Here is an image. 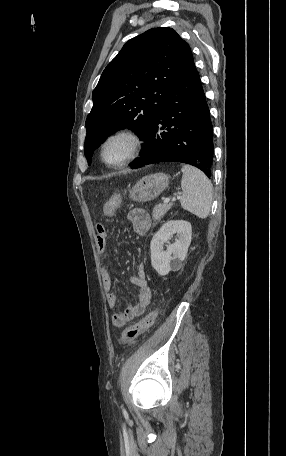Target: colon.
<instances>
[{
  "label": "colon",
  "mask_w": 286,
  "mask_h": 456,
  "mask_svg": "<svg viewBox=\"0 0 286 456\" xmlns=\"http://www.w3.org/2000/svg\"><path fill=\"white\" fill-rule=\"evenodd\" d=\"M119 202V196H113L109 201L111 205H117ZM157 315V311H153L139 322L127 327L122 334V342L129 343L143 335L154 324Z\"/></svg>",
  "instance_id": "1"
}]
</instances>
